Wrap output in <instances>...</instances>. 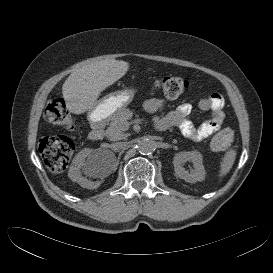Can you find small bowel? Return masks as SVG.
<instances>
[{
	"label": "small bowel",
	"mask_w": 273,
	"mask_h": 273,
	"mask_svg": "<svg viewBox=\"0 0 273 273\" xmlns=\"http://www.w3.org/2000/svg\"><path fill=\"white\" fill-rule=\"evenodd\" d=\"M198 106L203 111H211V117L202 124L196 126L190 119L191 106L187 103L178 106L170 112L162 121L166 126L177 127L188 138L201 141L217 132L224 121V98L219 93H211L199 100ZM145 109L151 114H157L164 107V101L160 98L148 99L144 104Z\"/></svg>",
	"instance_id": "small-bowel-1"
}]
</instances>
